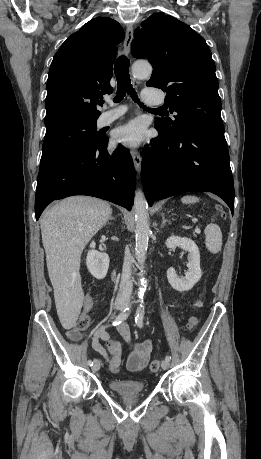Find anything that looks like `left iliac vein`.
<instances>
[{
    "mask_svg": "<svg viewBox=\"0 0 261 459\" xmlns=\"http://www.w3.org/2000/svg\"><path fill=\"white\" fill-rule=\"evenodd\" d=\"M161 366H162L163 370H167L169 368V366H170V363H169L168 360L165 359V360L162 361Z\"/></svg>",
    "mask_w": 261,
    "mask_h": 459,
    "instance_id": "obj_1",
    "label": "left iliac vein"
}]
</instances>
